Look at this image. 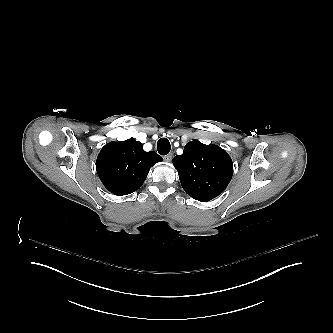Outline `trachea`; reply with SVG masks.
I'll list each match as a JSON object with an SVG mask.
<instances>
[{"label": "trachea", "instance_id": "1", "mask_svg": "<svg viewBox=\"0 0 333 333\" xmlns=\"http://www.w3.org/2000/svg\"><path fill=\"white\" fill-rule=\"evenodd\" d=\"M157 149H158L159 154H161V155L168 154L171 150L169 140L167 138H160L158 140Z\"/></svg>", "mask_w": 333, "mask_h": 333}]
</instances>
